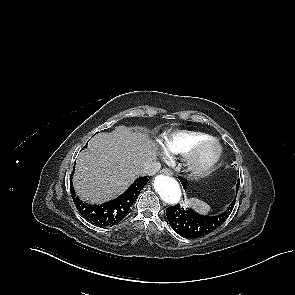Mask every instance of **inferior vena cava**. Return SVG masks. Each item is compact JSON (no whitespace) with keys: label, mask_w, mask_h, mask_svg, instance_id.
Wrapping results in <instances>:
<instances>
[{"label":"inferior vena cava","mask_w":295,"mask_h":295,"mask_svg":"<svg viewBox=\"0 0 295 295\" xmlns=\"http://www.w3.org/2000/svg\"><path fill=\"white\" fill-rule=\"evenodd\" d=\"M161 168V164L158 162H153L140 170V175H155Z\"/></svg>","instance_id":"1"}]
</instances>
